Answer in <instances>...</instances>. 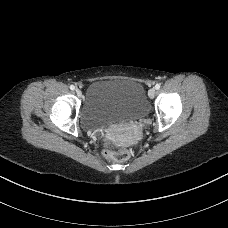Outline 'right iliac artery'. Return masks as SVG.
<instances>
[{"mask_svg": "<svg viewBox=\"0 0 228 228\" xmlns=\"http://www.w3.org/2000/svg\"><path fill=\"white\" fill-rule=\"evenodd\" d=\"M70 89H71V90H74V89H75V86H74V85H71V86H70Z\"/></svg>", "mask_w": 228, "mask_h": 228, "instance_id": "82829eb1", "label": "right iliac artery"}]
</instances>
